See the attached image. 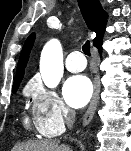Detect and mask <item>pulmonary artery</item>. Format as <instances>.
<instances>
[{
    "label": "pulmonary artery",
    "instance_id": "pulmonary-artery-1",
    "mask_svg": "<svg viewBox=\"0 0 131 151\" xmlns=\"http://www.w3.org/2000/svg\"><path fill=\"white\" fill-rule=\"evenodd\" d=\"M65 66L70 72H80L85 69L86 60L80 51H73L67 56Z\"/></svg>",
    "mask_w": 131,
    "mask_h": 151
}]
</instances>
